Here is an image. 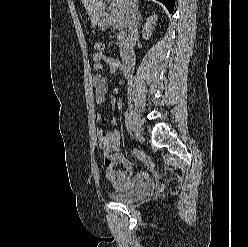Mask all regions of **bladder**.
<instances>
[{
  "label": "bladder",
  "mask_w": 248,
  "mask_h": 247,
  "mask_svg": "<svg viewBox=\"0 0 248 247\" xmlns=\"http://www.w3.org/2000/svg\"><path fill=\"white\" fill-rule=\"evenodd\" d=\"M152 190V185L147 183V184H142L136 187L134 190L129 191V192H113L111 194V197L120 203H131L134 202L146 195H148Z\"/></svg>",
  "instance_id": "obj_1"
}]
</instances>
